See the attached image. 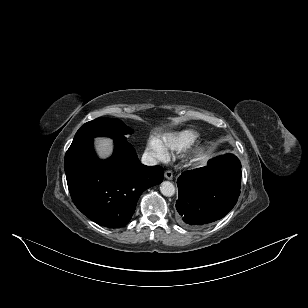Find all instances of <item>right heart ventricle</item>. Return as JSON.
Segmentation results:
<instances>
[{
	"label": "right heart ventricle",
	"mask_w": 308,
	"mask_h": 308,
	"mask_svg": "<svg viewBox=\"0 0 308 308\" xmlns=\"http://www.w3.org/2000/svg\"><path fill=\"white\" fill-rule=\"evenodd\" d=\"M198 134L192 129H182L162 134L158 139L161 147L167 151H180L191 145Z\"/></svg>",
	"instance_id": "obj_1"
}]
</instances>
